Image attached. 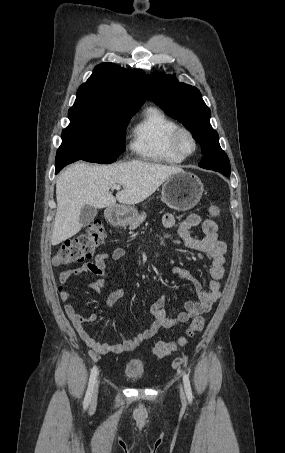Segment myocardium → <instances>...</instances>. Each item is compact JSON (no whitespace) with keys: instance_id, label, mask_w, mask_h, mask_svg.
Masks as SVG:
<instances>
[{"instance_id":"1","label":"myocardium","mask_w":285,"mask_h":453,"mask_svg":"<svg viewBox=\"0 0 285 453\" xmlns=\"http://www.w3.org/2000/svg\"><path fill=\"white\" fill-rule=\"evenodd\" d=\"M183 136H187L192 141L193 148L190 152L184 151L181 146V138ZM171 143H172V147L175 150V152L177 154H179L180 156H182L183 158L192 156L196 152L197 147H198L197 139L194 136V134L192 133V131L186 127H181V126H178L175 129V131L173 132L172 138H171Z\"/></svg>"}]
</instances>
